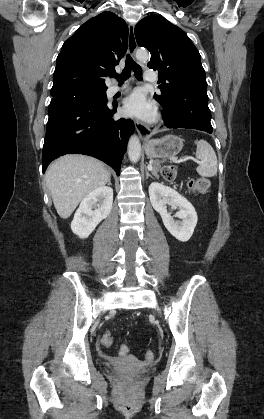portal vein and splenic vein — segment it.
<instances>
[{
    "label": "portal vein and splenic vein",
    "mask_w": 264,
    "mask_h": 419,
    "mask_svg": "<svg viewBox=\"0 0 264 419\" xmlns=\"http://www.w3.org/2000/svg\"><path fill=\"white\" fill-rule=\"evenodd\" d=\"M188 159H192V160H194L195 162H198V160H197V159H194V158H191V157H185V158H183V159H180V160H179V162L187 161ZM148 168H149L150 170H152V167H151V166H149Z\"/></svg>",
    "instance_id": "18ae733b"
}]
</instances>
